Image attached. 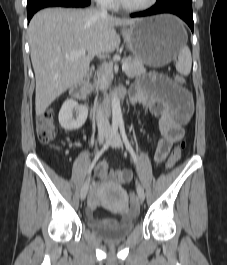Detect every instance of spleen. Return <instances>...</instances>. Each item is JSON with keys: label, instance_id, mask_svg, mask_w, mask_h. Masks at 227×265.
I'll return each instance as SVG.
<instances>
[{"label": "spleen", "instance_id": "3e777b00", "mask_svg": "<svg viewBox=\"0 0 227 265\" xmlns=\"http://www.w3.org/2000/svg\"><path fill=\"white\" fill-rule=\"evenodd\" d=\"M192 66L191 51L188 46H183L179 51L178 61L176 62V70L184 76L189 75Z\"/></svg>", "mask_w": 227, "mask_h": 265}]
</instances>
